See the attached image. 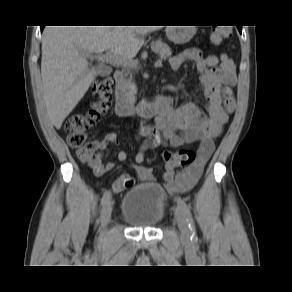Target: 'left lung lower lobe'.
Segmentation results:
<instances>
[{
	"instance_id": "left-lung-lower-lobe-1",
	"label": "left lung lower lobe",
	"mask_w": 292,
	"mask_h": 292,
	"mask_svg": "<svg viewBox=\"0 0 292 292\" xmlns=\"http://www.w3.org/2000/svg\"><path fill=\"white\" fill-rule=\"evenodd\" d=\"M237 28H238L239 32L241 33V31H242V27L239 26V27H237Z\"/></svg>"
}]
</instances>
